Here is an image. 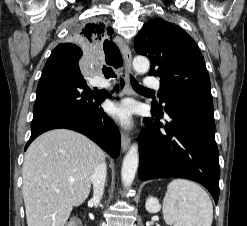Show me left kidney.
<instances>
[{
    "instance_id": "5707ae66",
    "label": "left kidney",
    "mask_w": 247,
    "mask_h": 226,
    "mask_svg": "<svg viewBox=\"0 0 247 226\" xmlns=\"http://www.w3.org/2000/svg\"><path fill=\"white\" fill-rule=\"evenodd\" d=\"M145 208L149 213H157L161 209L160 202L155 197H149L146 200Z\"/></svg>"
}]
</instances>
